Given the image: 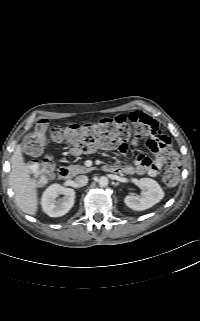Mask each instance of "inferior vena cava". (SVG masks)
I'll list each match as a JSON object with an SVG mask.
<instances>
[{
    "label": "inferior vena cava",
    "instance_id": "1",
    "mask_svg": "<svg viewBox=\"0 0 200 321\" xmlns=\"http://www.w3.org/2000/svg\"><path fill=\"white\" fill-rule=\"evenodd\" d=\"M77 186L82 187L88 183V177L86 175H79L75 178Z\"/></svg>",
    "mask_w": 200,
    "mask_h": 321
}]
</instances>
